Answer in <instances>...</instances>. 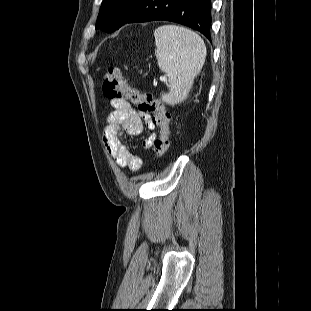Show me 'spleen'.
Masks as SVG:
<instances>
[{
	"label": "spleen",
	"mask_w": 311,
	"mask_h": 311,
	"mask_svg": "<svg viewBox=\"0 0 311 311\" xmlns=\"http://www.w3.org/2000/svg\"><path fill=\"white\" fill-rule=\"evenodd\" d=\"M155 55L161 71L167 73L169 92L161 99L168 105L183 102L200 73L206 57V46L201 37L176 25H163L155 29Z\"/></svg>",
	"instance_id": "1"
}]
</instances>
